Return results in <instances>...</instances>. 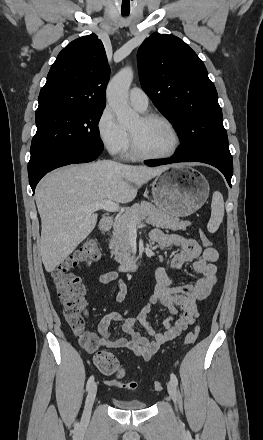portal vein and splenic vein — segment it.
I'll return each mask as SVG.
<instances>
[{
	"label": "portal vein and splenic vein",
	"instance_id": "1",
	"mask_svg": "<svg viewBox=\"0 0 263 440\" xmlns=\"http://www.w3.org/2000/svg\"><path fill=\"white\" fill-rule=\"evenodd\" d=\"M83 209L88 213L97 211L99 209H103L108 212H117L119 210V205L115 202L110 201V200H105V201H102L99 203L85 206V207H83ZM136 225L137 224L135 222H131L130 228L135 229Z\"/></svg>",
	"mask_w": 263,
	"mask_h": 440
}]
</instances>
